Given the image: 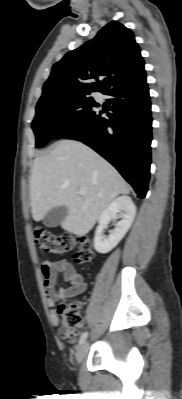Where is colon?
Segmentation results:
<instances>
[{
    "label": "colon",
    "mask_w": 182,
    "mask_h": 399,
    "mask_svg": "<svg viewBox=\"0 0 182 399\" xmlns=\"http://www.w3.org/2000/svg\"><path fill=\"white\" fill-rule=\"evenodd\" d=\"M33 237L38 247L49 254L62 255L75 249L73 260L78 265L90 263L94 258L91 241L85 236L68 233L54 235L41 226L33 228ZM57 314L62 321L61 329L69 339H75L77 328L81 325L80 305L76 302L61 303Z\"/></svg>",
    "instance_id": "5ec220e1"
}]
</instances>
